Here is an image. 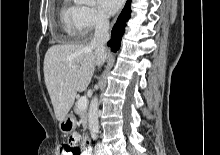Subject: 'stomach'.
<instances>
[{"label": "stomach", "mask_w": 220, "mask_h": 155, "mask_svg": "<svg viewBox=\"0 0 220 155\" xmlns=\"http://www.w3.org/2000/svg\"><path fill=\"white\" fill-rule=\"evenodd\" d=\"M76 127V120L73 114H67L63 121L60 122L59 128L65 134L71 133Z\"/></svg>", "instance_id": "1"}]
</instances>
